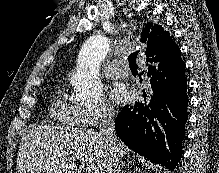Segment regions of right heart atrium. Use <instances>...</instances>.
I'll list each match as a JSON object with an SVG mask.
<instances>
[{"label":"right heart atrium","mask_w":219,"mask_h":173,"mask_svg":"<svg viewBox=\"0 0 219 173\" xmlns=\"http://www.w3.org/2000/svg\"><path fill=\"white\" fill-rule=\"evenodd\" d=\"M113 106L105 99H101L94 107L80 110L81 125L94 127L113 118Z\"/></svg>","instance_id":"d8ad5b80"}]
</instances>
